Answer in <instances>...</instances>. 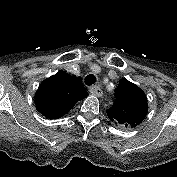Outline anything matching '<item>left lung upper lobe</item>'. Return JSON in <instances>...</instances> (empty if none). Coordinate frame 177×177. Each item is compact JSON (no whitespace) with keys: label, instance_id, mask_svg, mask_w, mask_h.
Instances as JSON below:
<instances>
[{"label":"left lung upper lobe","instance_id":"obj_1","mask_svg":"<svg viewBox=\"0 0 177 177\" xmlns=\"http://www.w3.org/2000/svg\"><path fill=\"white\" fill-rule=\"evenodd\" d=\"M116 100L107 110L109 119L124 130H131L142 123L148 113L145 93L123 78L115 91Z\"/></svg>","mask_w":177,"mask_h":177}]
</instances>
